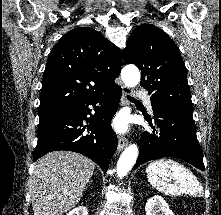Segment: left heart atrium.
<instances>
[{
	"mask_svg": "<svg viewBox=\"0 0 221 215\" xmlns=\"http://www.w3.org/2000/svg\"><path fill=\"white\" fill-rule=\"evenodd\" d=\"M114 126L115 128L120 131L123 132L126 130L127 128V120L124 116L120 115L116 118L115 122H114Z\"/></svg>",
	"mask_w": 221,
	"mask_h": 215,
	"instance_id": "39dd6f15",
	"label": "left heart atrium"
}]
</instances>
